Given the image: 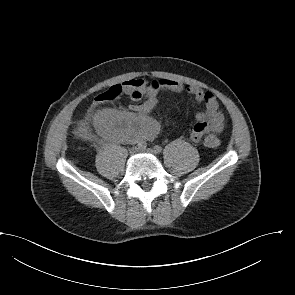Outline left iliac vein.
<instances>
[{"instance_id": "obj_1", "label": "left iliac vein", "mask_w": 295, "mask_h": 295, "mask_svg": "<svg viewBox=\"0 0 295 295\" xmlns=\"http://www.w3.org/2000/svg\"><path fill=\"white\" fill-rule=\"evenodd\" d=\"M142 150L146 153L155 154V151L153 148H142Z\"/></svg>"}]
</instances>
